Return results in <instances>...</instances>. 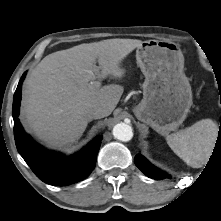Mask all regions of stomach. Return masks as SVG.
Here are the masks:
<instances>
[{
    "instance_id": "0dacf381",
    "label": "stomach",
    "mask_w": 221,
    "mask_h": 221,
    "mask_svg": "<svg viewBox=\"0 0 221 221\" xmlns=\"http://www.w3.org/2000/svg\"><path fill=\"white\" fill-rule=\"evenodd\" d=\"M136 60L145 81L143 99L133 112L140 121L166 135L183 123L193 104L183 53L174 42L148 40L137 48Z\"/></svg>"
}]
</instances>
